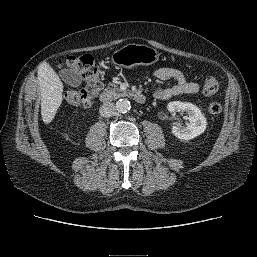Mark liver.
I'll return each instance as SVG.
<instances>
[{
    "mask_svg": "<svg viewBox=\"0 0 257 257\" xmlns=\"http://www.w3.org/2000/svg\"><path fill=\"white\" fill-rule=\"evenodd\" d=\"M38 81L41 92V115L45 124L50 123L63 100V83L48 63H42L38 69Z\"/></svg>",
    "mask_w": 257,
    "mask_h": 257,
    "instance_id": "6515ba94",
    "label": "liver"
}]
</instances>
